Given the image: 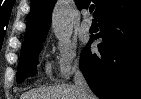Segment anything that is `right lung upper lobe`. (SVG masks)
Here are the masks:
<instances>
[{
  "label": "right lung upper lobe",
  "mask_w": 141,
  "mask_h": 99,
  "mask_svg": "<svg viewBox=\"0 0 141 99\" xmlns=\"http://www.w3.org/2000/svg\"><path fill=\"white\" fill-rule=\"evenodd\" d=\"M56 0H32L31 11L28 15L25 42L23 45L38 41L46 37L51 24V15ZM96 4L94 12L97 18L107 7L111 0H93ZM79 9L85 8L89 0H75Z\"/></svg>",
  "instance_id": "1"
}]
</instances>
